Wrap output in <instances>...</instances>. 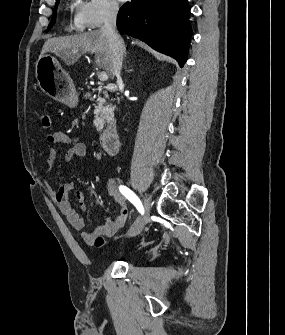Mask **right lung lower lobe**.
Masks as SVG:
<instances>
[{
	"instance_id": "right-lung-lower-lobe-1",
	"label": "right lung lower lobe",
	"mask_w": 285,
	"mask_h": 335,
	"mask_svg": "<svg viewBox=\"0 0 285 335\" xmlns=\"http://www.w3.org/2000/svg\"><path fill=\"white\" fill-rule=\"evenodd\" d=\"M189 12L186 0H132L120 9L117 26L122 33L173 57L182 67L192 35Z\"/></svg>"
}]
</instances>
